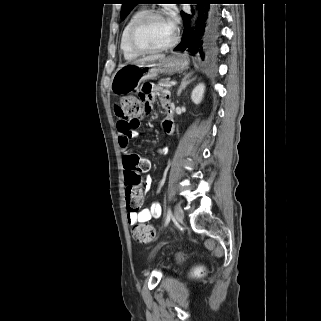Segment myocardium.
Listing matches in <instances>:
<instances>
[{
	"mask_svg": "<svg viewBox=\"0 0 321 321\" xmlns=\"http://www.w3.org/2000/svg\"><path fill=\"white\" fill-rule=\"evenodd\" d=\"M156 16L166 18V15L163 11L148 10V11H145L141 16H139L137 18V20L131 26L129 34H128V44L134 52H136L140 55L141 54H155V53L167 51V50L173 48L177 44L178 39H179V33L175 27H174V34H173L172 39L167 44H165L161 47L144 48L137 43L136 36H137V32L140 29V27L143 25V23L146 20H148L151 17H156Z\"/></svg>",
	"mask_w": 321,
	"mask_h": 321,
	"instance_id": "myocardium-1",
	"label": "myocardium"
}]
</instances>
